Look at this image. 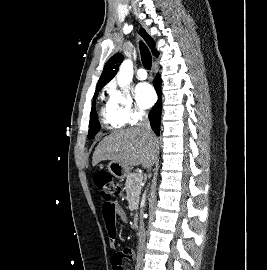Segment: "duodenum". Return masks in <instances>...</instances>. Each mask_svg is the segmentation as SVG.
Instances as JSON below:
<instances>
[{"mask_svg": "<svg viewBox=\"0 0 267 270\" xmlns=\"http://www.w3.org/2000/svg\"><path fill=\"white\" fill-rule=\"evenodd\" d=\"M139 224H140V220H139V217H136L135 219H134V225H135V227H139Z\"/></svg>", "mask_w": 267, "mask_h": 270, "instance_id": "1", "label": "duodenum"}]
</instances>
